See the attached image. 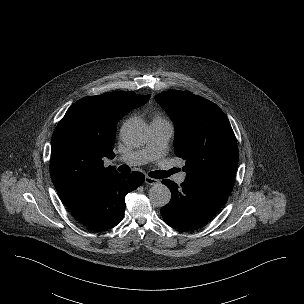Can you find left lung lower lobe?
Returning <instances> with one entry per match:
<instances>
[{"instance_id":"1","label":"left lung lower lobe","mask_w":304,"mask_h":304,"mask_svg":"<svg viewBox=\"0 0 304 304\" xmlns=\"http://www.w3.org/2000/svg\"><path fill=\"white\" fill-rule=\"evenodd\" d=\"M172 193L171 201L161 209L163 220L179 230L191 231L210 221L225 203V197L183 182L180 187L163 180Z\"/></svg>"}]
</instances>
